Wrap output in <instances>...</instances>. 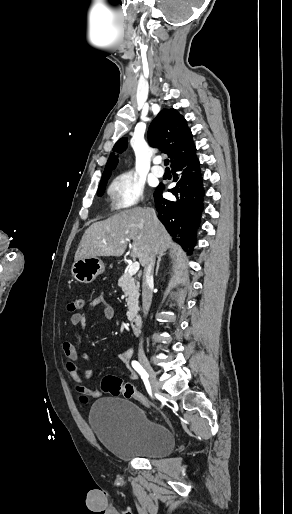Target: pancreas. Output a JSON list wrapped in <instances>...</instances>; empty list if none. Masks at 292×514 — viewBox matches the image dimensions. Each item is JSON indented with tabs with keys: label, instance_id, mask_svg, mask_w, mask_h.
<instances>
[{
	"label": "pancreas",
	"instance_id": "cf45deb5",
	"mask_svg": "<svg viewBox=\"0 0 292 514\" xmlns=\"http://www.w3.org/2000/svg\"><path fill=\"white\" fill-rule=\"evenodd\" d=\"M118 286L122 288V292L126 296L127 316L132 320V318H135L138 310L139 284L135 282L134 278L129 276L128 272H124L123 276L118 280Z\"/></svg>",
	"mask_w": 292,
	"mask_h": 514
}]
</instances>
